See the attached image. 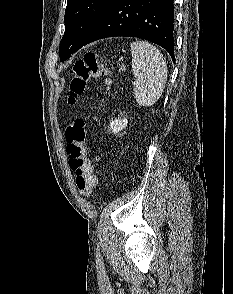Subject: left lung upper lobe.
<instances>
[{
	"instance_id": "1",
	"label": "left lung upper lobe",
	"mask_w": 233,
	"mask_h": 294,
	"mask_svg": "<svg viewBox=\"0 0 233 294\" xmlns=\"http://www.w3.org/2000/svg\"><path fill=\"white\" fill-rule=\"evenodd\" d=\"M111 0H67L65 33L60 41V60L79 50Z\"/></svg>"
}]
</instances>
